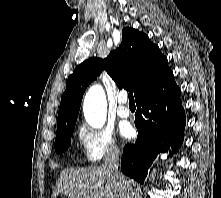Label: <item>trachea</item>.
<instances>
[{
	"label": "trachea",
	"instance_id": "1",
	"mask_svg": "<svg viewBox=\"0 0 221 198\" xmlns=\"http://www.w3.org/2000/svg\"><path fill=\"white\" fill-rule=\"evenodd\" d=\"M128 97H129V104H135V101H134V96H133V93L130 92L128 94Z\"/></svg>",
	"mask_w": 221,
	"mask_h": 198
}]
</instances>
